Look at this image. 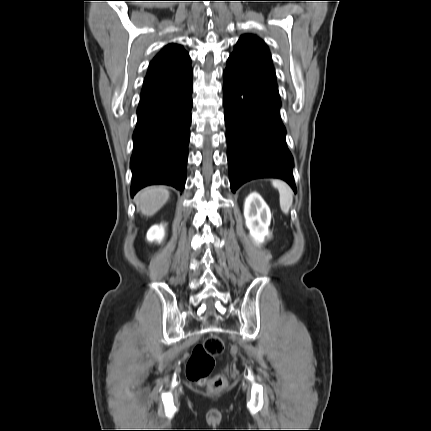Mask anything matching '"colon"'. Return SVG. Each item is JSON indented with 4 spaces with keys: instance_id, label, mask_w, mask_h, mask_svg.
I'll return each mask as SVG.
<instances>
[{
    "instance_id": "1",
    "label": "colon",
    "mask_w": 431,
    "mask_h": 431,
    "mask_svg": "<svg viewBox=\"0 0 431 431\" xmlns=\"http://www.w3.org/2000/svg\"><path fill=\"white\" fill-rule=\"evenodd\" d=\"M224 351L223 340L217 335H210L203 343L196 345L186 365V375L189 380L198 384H207L211 392H219L225 386L226 380L220 375L212 376L215 359ZM225 356L222 354L221 358Z\"/></svg>"
}]
</instances>
